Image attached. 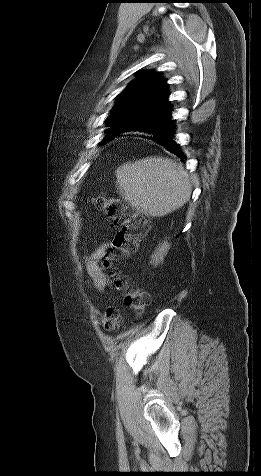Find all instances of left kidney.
<instances>
[{
    "mask_svg": "<svg viewBox=\"0 0 261 476\" xmlns=\"http://www.w3.org/2000/svg\"><path fill=\"white\" fill-rule=\"evenodd\" d=\"M169 249L170 244L167 240L160 243L154 254H152L150 263L154 266L160 264L164 260V257Z\"/></svg>",
    "mask_w": 261,
    "mask_h": 476,
    "instance_id": "obj_1",
    "label": "left kidney"
}]
</instances>
